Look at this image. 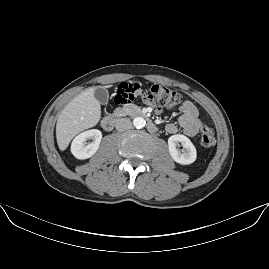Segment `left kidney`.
Wrapping results in <instances>:
<instances>
[{
	"instance_id": "5707ae66",
	"label": "left kidney",
	"mask_w": 269,
	"mask_h": 269,
	"mask_svg": "<svg viewBox=\"0 0 269 269\" xmlns=\"http://www.w3.org/2000/svg\"><path fill=\"white\" fill-rule=\"evenodd\" d=\"M169 151L175 161L182 164H190L196 159V148L192 142L184 135H172L168 139ZM183 146V150L179 147Z\"/></svg>"
}]
</instances>
